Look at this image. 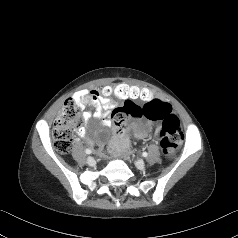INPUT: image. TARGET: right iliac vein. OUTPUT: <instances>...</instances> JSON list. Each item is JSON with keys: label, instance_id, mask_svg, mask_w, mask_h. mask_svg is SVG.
<instances>
[{"label": "right iliac vein", "instance_id": "63e3f726", "mask_svg": "<svg viewBox=\"0 0 238 238\" xmlns=\"http://www.w3.org/2000/svg\"><path fill=\"white\" fill-rule=\"evenodd\" d=\"M94 159L92 158V157H88L87 158V164H89V165H93L94 164Z\"/></svg>", "mask_w": 238, "mask_h": 238}]
</instances>
